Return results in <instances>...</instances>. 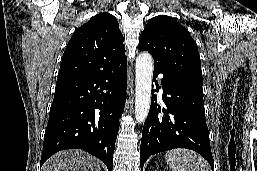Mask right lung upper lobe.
<instances>
[{"mask_svg":"<svg viewBox=\"0 0 257 171\" xmlns=\"http://www.w3.org/2000/svg\"><path fill=\"white\" fill-rule=\"evenodd\" d=\"M126 60L117 19L111 14L100 13L74 32L64 51L57 81L111 70Z\"/></svg>","mask_w":257,"mask_h":171,"instance_id":"1","label":"right lung upper lobe"}]
</instances>
